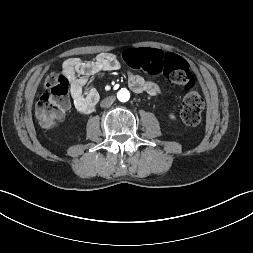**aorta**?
Here are the masks:
<instances>
[{"mask_svg": "<svg viewBox=\"0 0 253 253\" xmlns=\"http://www.w3.org/2000/svg\"><path fill=\"white\" fill-rule=\"evenodd\" d=\"M117 98L121 102H126L130 98V93L127 89L122 88L118 93H117Z\"/></svg>", "mask_w": 253, "mask_h": 253, "instance_id": "1", "label": "aorta"}]
</instances>
